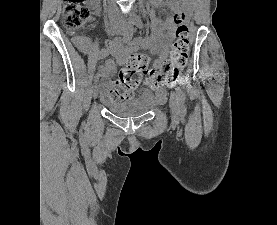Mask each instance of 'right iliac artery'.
<instances>
[{
	"instance_id": "right-iliac-artery-1",
	"label": "right iliac artery",
	"mask_w": 277,
	"mask_h": 225,
	"mask_svg": "<svg viewBox=\"0 0 277 225\" xmlns=\"http://www.w3.org/2000/svg\"><path fill=\"white\" fill-rule=\"evenodd\" d=\"M134 22H130L129 25H128V29L126 31V33L124 34L122 40L124 42H127L129 40L132 39L133 37V32H134ZM117 39H121V37H117ZM97 87V80H94L93 84H92V88H96Z\"/></svg>"
}]
</instances>
